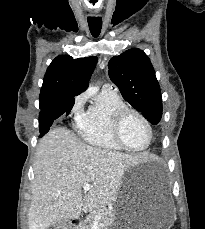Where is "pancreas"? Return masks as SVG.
Wrapping results in <instances>:
<instances>
[{
	"mask_svg": "<svg viewBox=\"0 0 205 229\" xmlns=\"http://www.w3.org/2000/svg\"><path fill=\"white\" fill-rule=\"evenodd\" d=\"M96 215H103V217L98 220L101 229H109V226L114 221L115 214L113 210L107 209L105 207L97 208L95 212L87 216L80 229H93V222L95 221Z\"/></svg>",
	"mask_w": 205,
	"mask_h": 229,
	"instance_id": "1",
	"label": "pancreas"
}]
</instances>
